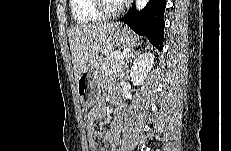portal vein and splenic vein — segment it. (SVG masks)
Returning <instances> with one entry per match:
<instances>
[{"label": "portal vein and splenic vein", "instance_id": "1", "mask_svg": "<svg viewBox=\"0 0 231 151\" xmlns=\"http://www.w3.org/2000/svg\"><path fill=\"white\" fill-rule=\"evenodd\" d=\"M124 57H126V53H118V54H115V55H114V58H115V59L124 58Z\"/></svg>", "mask_w": 231, "mask_h": 151}]
</instances>
